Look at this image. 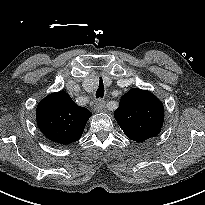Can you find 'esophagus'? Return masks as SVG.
<instances>
[{
  "label": "esophagus",
  "mask_w": 205,
  "mask_h": 205,
  "mask_svg": "<svg viewBox=\"0 0 205 205\" xmlns=\"http://www.w3.org/2000/svg\"><path fill=\"white\" fill-rule=\"evenodd\" d=\"M105 106H106L105 101L99 99L95 102L94 109L97 112H103L105 110Z\"/></svg>",
  "instance_id": "esophagus-1"
}]
</instances>
